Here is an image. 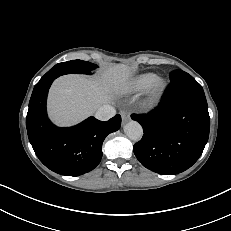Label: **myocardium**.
Masks as SVG:
<instances>
[{
	"label": "myocardium",
	"instance_id": "obj_1",
	"mask_svg": "<svg viewBox=\"0 0 231 231\" xmlns=\"http://www.w3.org/2000/svg\"><path fill=\"white\" fill-rule=\"evenodd\" d=\"M165 88H166L165 80L158 78L151 87L146 104L149 106L154 105L162 97Z\"/></svg>",
	"mask_w": 231,
	"mask_h": 231
}]
</instances>
